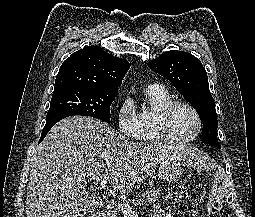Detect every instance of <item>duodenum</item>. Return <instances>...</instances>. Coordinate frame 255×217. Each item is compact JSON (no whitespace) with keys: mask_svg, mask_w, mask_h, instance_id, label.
Instances as JSON below:
<instances>
[{"mask_svg":"<svg viewBox=\"0 0 255 217\" xmlns=\"http://www.w3.org/2000/svg\"><path fill=\"white\" fill-rule=\"evenodd\" d=\"M90 217H105V213L103 210H97Z\"/></svg>","mask_w":255,"mask_h":217,"instance_id":"obj_1","label":"duodenum"}]
</instances>
